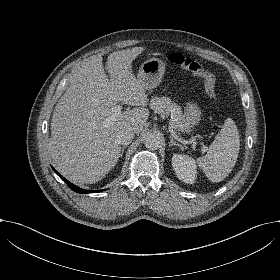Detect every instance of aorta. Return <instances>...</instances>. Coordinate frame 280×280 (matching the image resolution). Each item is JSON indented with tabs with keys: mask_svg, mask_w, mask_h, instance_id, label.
<instances>
[{
	"mask_svg": "<svg viewBox=\"0 0 280 280\" xmlns=\"http://www.w3.org/2000/svg\"><path fill=\"white\" fill-rule=\"evenodd\" d=\"M144 145L150 150H157L162 145V139L157 134L149 133L144 136Z\"/></svg>",
	"mask_w": 280,
	"mask_h": 280,
	"instance_id": "1",
	"label": "aorta"
}]
</instances>
